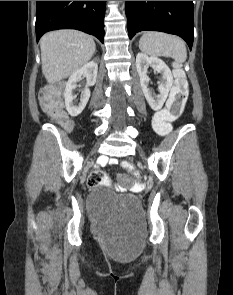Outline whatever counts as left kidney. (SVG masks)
Returning <instances> with one entry per match:
<instances>
[{
  "label": "left kidney",
  "instance_id": "1",
  "mask_svg": "<svg viewBox=\"0 0 233 295\" xmlns=\"http://www.w3.org/2000/svg\"><path fill=\"white\" fill-rule=\"evenodd\" d=\"M148 66H151L155 71L162 74V81L158 85L159 95L153 94L148 88L150 81L147 76ZM136 68L140 77L141 88L148 104L154 111L160 110L166 101L173 84V76L170 68L163 60L154 56L149 57L142 52H139L136 56Z\"/></svg>",
  "mask_w": 233,
  "mask_h": 295
}]
</instances>
